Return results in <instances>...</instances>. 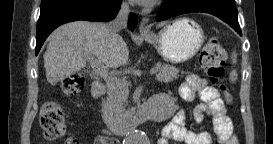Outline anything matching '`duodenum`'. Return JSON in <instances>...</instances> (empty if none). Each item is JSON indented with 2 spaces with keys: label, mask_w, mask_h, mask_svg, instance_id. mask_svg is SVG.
Wrapping results in <instances>:
<instances>
[{
  "label": "duodenum",
  "mask_w": 273,
  "mask_h": 144,
  "mask_svg": "<svg viewBox=\"0 0 273 144\" xmlns=\"http://www.w3.org/2000/svg\"><path fill=\"white\" fill-rule=\"evenodd\" d=\"M104 93L105 87L103 83L95 81L92 85V96L95 99H99ZM169 106L170 101L168 96L158 94L152 97L147 103L139 106L131 117L116 127L115 131L118 135L122 136L146 120L163 121L167 118Z\"/></svg>",
  "instance_id": "obj_1"
}]
</instances>
